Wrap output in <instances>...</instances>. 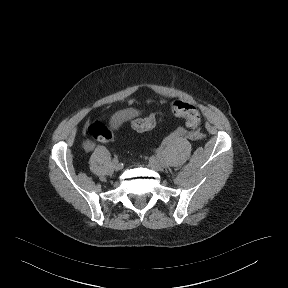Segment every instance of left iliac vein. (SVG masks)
Instances as JSON below:
<instances>
[{"label": "left iliac vein", "instance_id": "obj_1", "mask_svg": "<svg viewBox=\"0 0 288 288\" xmlns=\"http://www.w3.org/2000/svg\"><path fill=\"white\" fill-rule=\"evenodd\" d=\"M148 166L155 170H161L162 164L157 157H151L148 162Z\"/></svg>", "mask_w": 288, "mask_h": 288}]
</instances>
